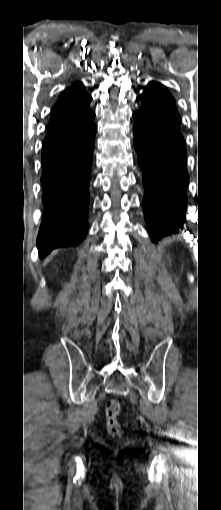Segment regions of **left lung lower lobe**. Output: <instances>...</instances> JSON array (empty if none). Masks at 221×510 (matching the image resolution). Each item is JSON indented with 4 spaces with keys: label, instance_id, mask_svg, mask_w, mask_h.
<instances>
[{
    "label": "left lung lower lobe",
    "instance_id": "left-lung-lower-lobe-1",
    "mask_svg": "<svg viewBox=\"0 0 221 510\" xmlns=\"http://www.w3.org/2000/svg\"><path fill=\"white\" fill-rule=\"evenodd\" d=\"M134 146L143 174V210L153 242L178 233L185 223L186 169L184 139L170 134L140 111L133 113Z\"/></svg>",
    "mask_w": 221,
    "mask_h": 510
}]
</instances>
